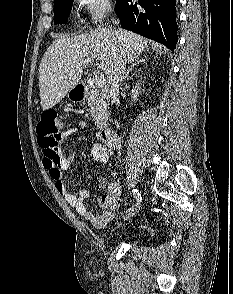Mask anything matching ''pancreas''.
<instances>
[{"mask_svg": "<svg viewBox=\"0 0 233 294\" xmlns=\"http://www.w3.org/2000/svg\"><path fill=\"white\" fill-rule=\"evenodd\" d=\"M91 116L98 128H103L107 121V102L105 96L97 89H91L87 96Z\"/></svg>", "mask_w": 233, "mask_h": 294, "instance_id": "pancreas-1", "label": "pancreas"}]
</instances>
